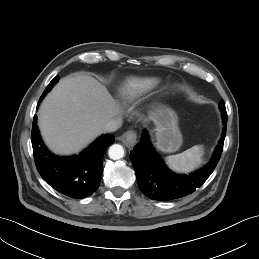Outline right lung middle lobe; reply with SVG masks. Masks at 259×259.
Wrapping results in <instances>:
<instances>
[{
  "mask_svg": "<svg viewBox=\"0 0 259 259\" xmlns=\"http://www.w3.org/2000/svg\"><path fill=\"white\" fill-rule=\"evenodd\" d=\"M59 81V77H55L50 84L47 86V88L44 90L42 96H41V100L45 97V95L47 94V92H49L51 90V88Z\"/></svg>",
  "mask_w": 259,
  "mask_h": 259,
  "instance_id": "right-lung-middle-lobe-1",
  "label": "right lung middle lobe"
}]
</instances>
